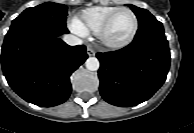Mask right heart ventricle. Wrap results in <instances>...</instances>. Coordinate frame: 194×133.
I'll return each mask as SVG.
<instances>
[{
  "label": "right heart ventricle",
  "instance_id": "right-heart-ventricle-1",
  "mask_svg": "<svg viewBox=\"0 0 194 133\" xmlns=\"http://www.w3.org/2000/svg\"><path fill=\"white\" fill-rule=\"evenodd\" d=\"M119 7H94L83 11L78 20L86 29L97 34L106 19Z\"/></svg>",
  "mask_w": 194,
  "mask_h": 133
}]
</instances>
